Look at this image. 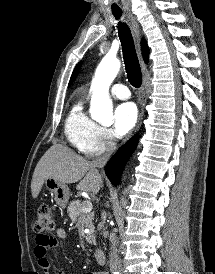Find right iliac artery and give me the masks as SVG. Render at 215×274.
<instances>
[{"mask_svg": "<svg viewBox=\"0 0 215 274\" xmlns=\"http://www.w3.org/2000/svg\"><path fill=\"white\" fill-rule=\"evenodd\" d=\"M114 274H119L118 272H115Z\"/></svg>", "mask_w": 215, "mask_h": 274, "instance_id": "1", "label": "right iliac artery"}]
</instances>
